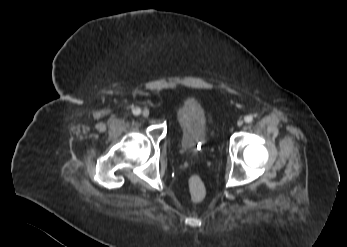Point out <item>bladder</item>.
I'll return each mask as SVG.
<instances>
[{"instance_id": "1", "label": "bladder", "mask_w": 347, "mask_h": 247, "mask_svg": "<svg viewBox=\"0 0 347 247\" xmlns=\"http://www.w3.org/2000/svg\"><path fill=\"white\" fill-rule=\"evenodd\" d=\"M178 121L181 150L187 155L195 154L197 147L208 141L209 125L205 114L194 100L187 99L178 110Z\"/></svg>"}]
</instances>
